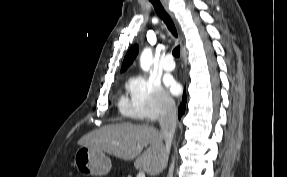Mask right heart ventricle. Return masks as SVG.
I'll use <instances>...</instances> for the list:
<instances>
[{"label": "right heart ventricle", "instance_id": "obj_1", "mask_svg": "<svg viewBox=\"0 0 287 177\" xmlns=\"http://www.w3.org/2000/svg\"><path fill=\"white\" fill-rule=\"evenodd\" d=\"M119 107L123 114L134 115L133 105L125 97H121L120 102H119Z\"/></svg>", "mask_w": 287, "mask_h": 177}]
</instances>
